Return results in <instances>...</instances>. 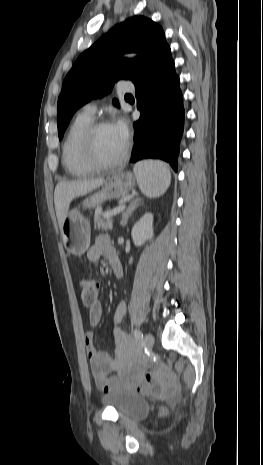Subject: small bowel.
I'll use <instances>...</instances> for the list:
<instances>
[{
	"mask_svg": "<svg viewBox=\"0 0 263 465\" xmlns=\"http://www.w3.org/2000/svg\"><path fill=\"white\" fill-rule=\"evenodd\" d=\"M116 253L108 236L101 235L87 252V259L97 263L102 257L109 260ZM126 304L120 301L113 315V334L117 345L112 356L95 346L94 332L87 331L84 335V345L97 387L105 393L117 389H131L138 392L150 391L159 395L161 391L172 384L171 377L163 370L154 368L151 371L139 361V349L134 339L122 328L121 323L126 314ZM103 308L96 302L89 308V323L91 327L100 324Z\"/></svg>",
	"mask_w": 263,
	"mask_h": 465,
	"instance_id": "1",
	"label": "small bowel"
}]
</instances>
